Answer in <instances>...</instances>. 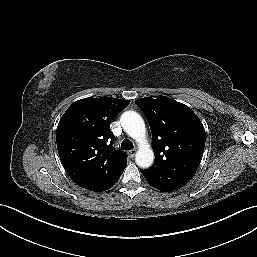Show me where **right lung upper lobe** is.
Segmentation results:
<instances>
[{"label":"right lung upper lobe","mask_w":257,"mask_h":257,"mask_svg":"<svg viewBox=\"0 0 257 257\" xmlns=\"http://www.w3.org/2000/svg\"><path fill=\"white\" fill-rule=\"evenodd\" d=\"M129 103L112 97L81 99L61 117L56 133L58 153L80 187L99 192L122 175L127 155L114 149L110 121Z\"/></svg>","instance_id":"obj_1"}]
</instances>
